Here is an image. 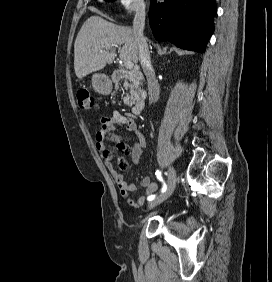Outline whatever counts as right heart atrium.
Segmentation results:
<instances>
[{
	"label": "right heart atrium",
	"instance_id": "obj_1",
	"mask_svg": "<svg viewBox=\"0 0 272 282\" xmlns=\"http://www.w3.org/2000/svg\"><path fill=\"white\" fill-rule=\"evenodd\" d=\"M117 7L120 13L130 15L144 9V0H118Z\"/></svg>",
	"mask_w": 272,
	"mask_h": 282
}]
</instances>
